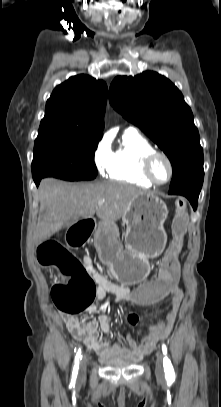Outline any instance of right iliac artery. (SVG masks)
I'll return each mask as SVG.
<instances>
[{
    "instance_id": "obj_1",
    "label": "right iliac artery",
    "mask_w": 221,
    "mask_h": 407,
    "mask_svg": "<svg viewBox=\"0 0 221 407\" xmlns=\"http://www.w3.org/2000/svg\"><path fill=\"white\" fill-rule=\"evenodd\" d=\"M81 358H82L81 349L79 348L76 353V356H75L74 368H73V372H72L73 379H76V377H77V373H78V369H79V361Z\"/></svg>"
}]
</instances>
